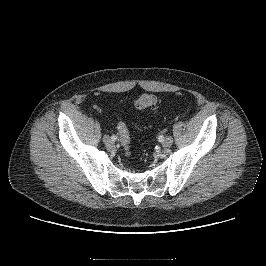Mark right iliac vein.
Segmentation results:
<instances>
[{
  "mask_svg": "<svg viewBox=\"0 0 266 266\" xmlns=\"http://www.w3.org/2000/svg\"><path fill=\"white\" fill-rule=\"evenodd\" d=\"M103 141L107 146L111 147L114 145V141L109 136H104Z\"/></svg>",
  "mask_w": 266,
  "mask_h": 266,
  "instance_id": "1",
  "label": "right iliac vein"
}]
</instances>
